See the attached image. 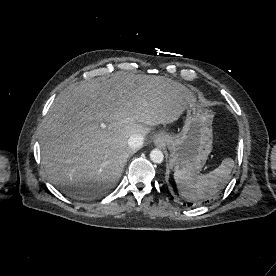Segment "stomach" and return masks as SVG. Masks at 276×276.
I'll return each instance as SVG.
<instances>
[{"mask_svg": "<svg viewBox=\"0 0 276 276\" xmlns=\"http://www.w3.org/2000/svg\"><path fill=\"white\" fill-rule=\"evenodd\" d=\"M213 115L199 105L187 108L186 120L177 135L162 133L170 151L169 164L175 171L195 173L201 170L212 151Z\"/></svg>", "mask_w": 276, "mask_h": 276, "instance_id": "1", "label": "stomach"}]
</instances>
